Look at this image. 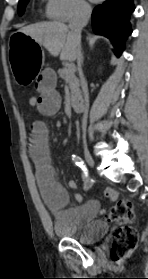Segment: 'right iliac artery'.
I'll list each match as a JSON object with an SVG mask.
<instances>
[{
    "instance_id": "82829eb1",
    "label": "right iliac artery",
    "mask_w": 148,
    "mask_h": 279,
    "mask_svg": "<svg viewBox=\"0 0 148 279\" xmlns=\"http://www.w3.org/2000/svg\"><path fill=\"white\" fill-rule=\"evenodd\" d=\"M72 160L74 161V163H75L77 166L81 167L83 170H86L85 164H84V162H83V160H82L81 157H79V156H77V155H73V156H72Z\"/></svg>"
}]
</instances>
